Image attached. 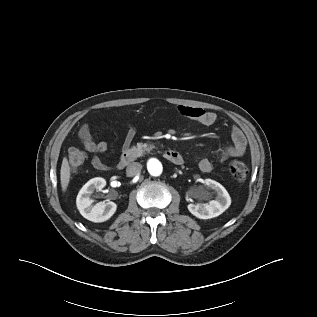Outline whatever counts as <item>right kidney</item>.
<instances>
[{
  "mask_svg": "<svg viewBox=\"0 0 317 317\" xmlns=\"http://www.w3.org/2000/svg\"><path fill=\"white\" fill-rule=\"evenodd\" d=\"M105 185L104 178L95 177L89 180L77 195V208L81 215L89 221L104 222L116 212L117 205L112 201L98 202L93 205L94 200L91 199V195L95 190H101Z\"/></svg>",
  "mask_w": 317,
  "mask_h": 317,
  "instance_id": "obj_1",
  "label": "right kidney"
}]
</instances>
